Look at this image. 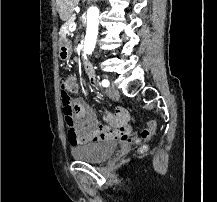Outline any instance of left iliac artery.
Masks as SVG:
<instances>
[{
    "label": "left iliac artery",
    "mask_w": 217,
    "mask_h": 202,
    "mask_svg": "<svg viewBox=\"0 0 217 202\" xmlns=\"http://www.w3.org/2000/svg\"><path fill=\"white\" fill-rule=\"evenodd\" d=\"M109 84H110V82H109L107 79H104V80L102 81V86H103V87H108Z\"/></svg>",
    "instance_id": "44dca946"
}]
</instances>
